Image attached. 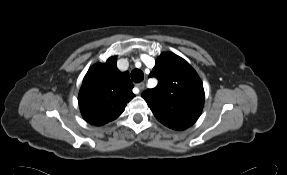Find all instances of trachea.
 <instances>
[{
	"label": "trachea",
	"instance_id": "obj_1",
	"mask_svg": "<svg viewBox=\"0 0 287 175\" xmlns=\"http://www.w3.org/2000/svg\"><path fill=\"white\" fill-rule=\"evenodd\" d=\"M131 79H132L133 82L139 83V82H141L144 79V74H143V72L141 70L134 69L131 72Z\"/></svg>",
	"mask_w": 287,
	"mask_h": 175
}]
</instances>
